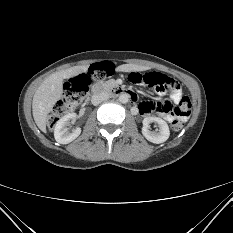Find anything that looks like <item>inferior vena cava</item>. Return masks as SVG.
<instances>
[{
  "mask_svg": "<svg viewBox=\"0 0 233 233\" xmlns=\"http://www.w3.org/2000/svg\"><path fill=\"white\" fill-rule=\"evenodd\" d=\"M109 97L110 96H109V94L107 92H101V93H98V94H94L92 96L91 102H92L93 105H98L101 102L108 100Z\"/></svg>",
  "mask_w": 233,
  "mask_h": 233,
  "instance_id": "obj_1",
  "label": "inferior vena cava"
}]
</instances>
